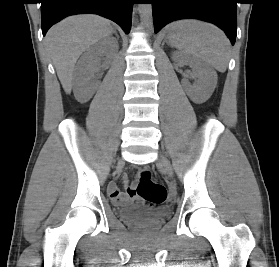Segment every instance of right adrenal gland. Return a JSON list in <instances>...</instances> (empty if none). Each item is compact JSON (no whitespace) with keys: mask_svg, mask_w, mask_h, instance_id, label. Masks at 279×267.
Listing matches in <instances>:
<instances>
[{"mask_svg":"<svg viewBox=\"0 0 279 267\" xmlns=\"http://www.w3.org/2000/svg\"><path fill=\"white\" fill-rule=\"evenodd\" d=\"M113 33L116 35L117 39H119V36L115 30L113 31Z\"/></svg>","mask_w":279,"mask_h":267,"instance_id":"obj_1","label":"right adrenal gland"}]
</instances>
